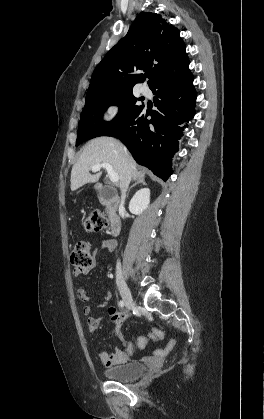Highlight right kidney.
I'll use <instances>...</instances> for the list:
<instances>
[{
	"instance_id": "obj_1",
	"label": "right kidney",
	"mask_w": 264,
	"mask_h": 419,
	"mask_svg": "<svg viewBox=\"0 0 264 419\" xmlns=\"http://www.w3.org/2000/svg\"><path fill=\"white\" fill-rule=\"evenodd\" d=\"M150 203V190L143 188L138 190L129 203V211L132 214L140 215L146 210Z\"/></svg>"
}]
</instances>
